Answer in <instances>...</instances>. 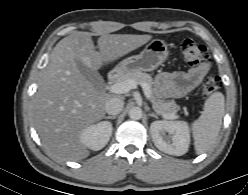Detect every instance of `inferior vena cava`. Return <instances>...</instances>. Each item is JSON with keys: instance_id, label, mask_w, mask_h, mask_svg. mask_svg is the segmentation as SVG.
<instances>
[{"instance_id": "602c4592", "label": "inferior vena cava", "mask_w": 248, "mask_h": 195, "mask_svg": "<svg viewBox=\"0 0 248 195\" xmlns=\"http://www.w3.org/2000/svg\"><path fill=\"white\" fill-rule=\"evenodd\" d=\"M123 106H124V102L122 99L113 97L106 102L105 111L109 115H117L122 111Z\"/></svg>"}]
</instances>
